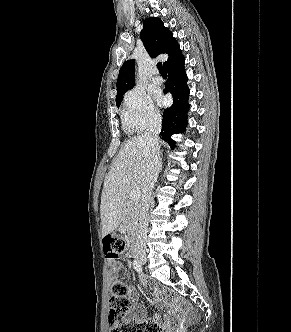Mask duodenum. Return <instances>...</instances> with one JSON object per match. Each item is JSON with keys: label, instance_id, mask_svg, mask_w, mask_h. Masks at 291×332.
Listing matches in <instances>:
<instances>
[{"label": "duodenum", "instance_id": "duodenum-1", "mask_svg": "<svg viewBox=\"0 0 291 332\" xmlns=\"http://www.w3.org/2000/svg\"><path fill=\"white\" fill-rule=\"evenodd\" d=\"M131 240H132V242L134 243V241H135V238H134V237H132V239H131ZM133 254H134V251L132 250V251H131V255H133Z\"/></svg>", "mask_w": 291, "mask_h": 332}]
</instances>
